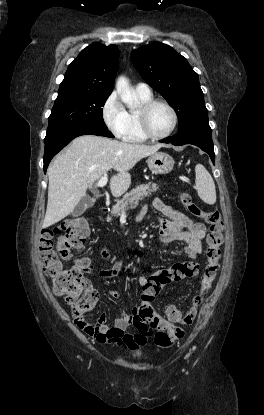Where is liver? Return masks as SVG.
<instances>
[{"label": "liver", "mask_w": 264, "mask_h": 415, "mask_svg": "<svg viewBox=\"0 0 264 415\" xmlns=\"http://www.w3.org/2000/svg\"><path fill=\"white\" fill-rule=\"evenodd\" d=\"M163 146L131 144L94 135L75 138L48 168V203L43 227L47 228L72 213L86 190L92 189L110 169L117 172L110 179L112 195L124 194L131 184L129 170Z\"/></svg>", "instance_id": "6515ba94"}]
</instances>
